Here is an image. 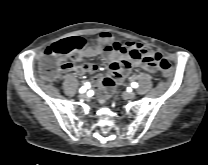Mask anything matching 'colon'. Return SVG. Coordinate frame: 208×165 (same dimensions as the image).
Listing matches in <instances>:
<instances>
[{"label": "colon", "mask_w": 208, "mask_h": 165, "mask_svg": "<svg viewBox=\"0 0 208 165\" xmlns=\"http://www.w3.org/2000/svg\"><path fill=\"white\" fill-rule=\"evenodd\" d=\"M87 43L79 37H69L55 42L46 50V55L41 61L40 69L43 77L49 81L57 79L59 70V58L64 56H75L85 50ZM146 62L154 63L160 69L163 78L167 79L172 75V67L169 61L159 53H143Z\"/></svg>", "instance_id": "5ec220e1"}]
</instances>
